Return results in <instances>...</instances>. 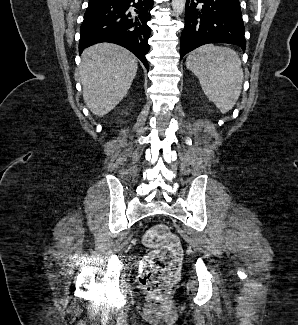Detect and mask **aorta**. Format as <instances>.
<instances>
[{
  "instance_id": "762f6f07",
  "label": "aorta",
  "mask_w": 298,
  "mask_h": 325,
  "mask_svg": "<svg viewBox=\"0 0 298 325\" xmlns=\"http://www.w3.org/2000/svg\"><path fill=\"white\" fill-rule=\"evenodd\" d=\"M186 0H172V8L175 14H182L185 10Z\"/></svg>"
}]
</instances>
